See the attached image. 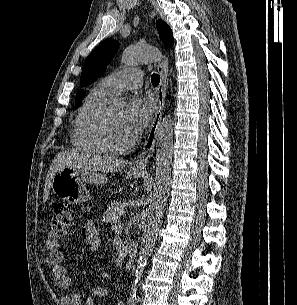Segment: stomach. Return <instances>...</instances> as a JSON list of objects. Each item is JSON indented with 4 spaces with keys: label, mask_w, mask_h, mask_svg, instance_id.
<instances>
[{
    "label": "stomach",
    "mask_w": 297,
    "mask_h": 305,
    "mask_svg": "<svg viewBox=\"0 0 297 305\" xmlns=\"http://www.w3.org/2000/svg\"><path fill=\"white\" fill-rule=\"evenodd\" d=\"M143 171L130 168L127 178H139ZM108 181L105 173L62 167L52 178L51 189L53 193L70 204L82 203L90 200L91 196L86 188V184H104Z\"/></svg>",
    "instance_id": "obj_1"
}]
</instances>
